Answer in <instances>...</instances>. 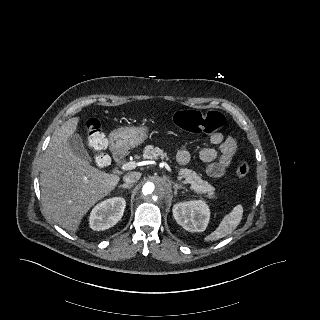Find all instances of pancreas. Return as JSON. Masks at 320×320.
Wrapping results in <instances>:
<instances>
[{"label":"pancreas","instance_id":"obj_1","mask_svg":"<svg viewBox=\"0 0 320 320\" xmlns=\"http://www.w3.org/2000/svg\"><path fill=\"white\" fill-rule=\"evenodd\" d=\"M143 157L145 159H164L168 158L167 154L158 147H153L152 145H148L145 147L143 151ZM179 176L184 178V183H189L191 185V189L197 194H206V197L209 199H214V187L210 185L207 181L201 179L200 175L195 171L187 168H181L179 170Z\"/></svg>","mask_w":320,"mask_h":320}]
</instances>
